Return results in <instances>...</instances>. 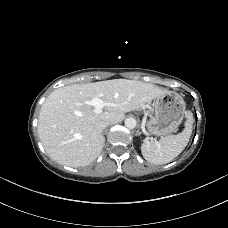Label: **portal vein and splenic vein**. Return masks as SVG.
<instances>
[{
	"label": "portal vein and splenic vein",
	"mask_w": 228,
	"mask_h": 228,
	"mask_svg": "<svg viewBox=\"0 0 228 228\" xmlns=\"http://www.w3.org/2000/svg\"><path fill=\"white\" fill-rule=\"evenodd\" d=\"M86 104L93 106L95 113H102L104 106L107 105V103H105L102 99L98 97H95L90 101H87Z\"/></svg>",
	"instance_id": "18ae733b"
}]
</instances>
